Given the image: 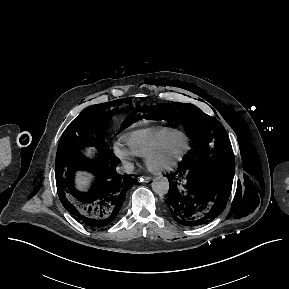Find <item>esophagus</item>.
Here are the masks:
<instances>
[{"mask_svg": "<svg viewBox=\"0 0 289 289\" xmlns=\"http://www.w3.org/2000/svg\"><path fill=\"white\" fill-rule=\"evenodd\" d=\"M140 180H141V182H143V183H149V182L152 181L153 179H152V177H150V176H143V177L140 178Z\"/></svg>", "mask_w": 289, "mask_h": 289, "instance_id": "1", "label": "esophagus"}]
</instances>
